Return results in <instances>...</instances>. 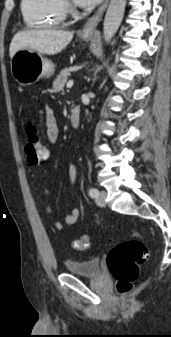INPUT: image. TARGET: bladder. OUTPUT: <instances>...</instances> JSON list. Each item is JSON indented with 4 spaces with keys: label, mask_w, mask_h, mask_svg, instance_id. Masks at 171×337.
I'll return each mask as SVG.
<instances>
[{
    "label": "bladder",
    "mask_w": 171,
    "mask_h": 337,
    "mask_svg": "<svg viewBox=\"0 0 171 337\" xmlns=\"http://www.w3.org/2000/svg\"><path fill=\"white\" fill-rule=\"evenodd\" d=\"M65 268L68 273L88 278L100 276L102 268L101 262L97 258L88 260H67Z\"/></svg>",
    "instance_id": "obj_1"
}]
</instances>
